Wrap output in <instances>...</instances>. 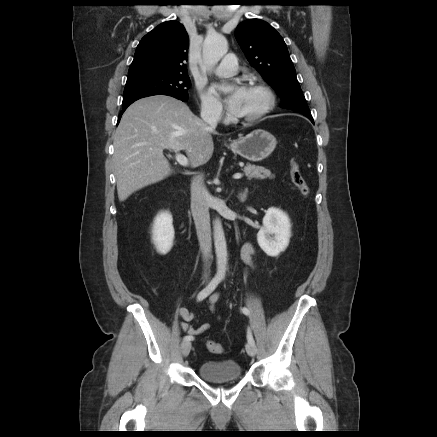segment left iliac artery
Here are the masks:
<instances>
[{
	"instance_id": "1",
	"label": "left iliac artery",
	"mask_w": 437,
	"mask_h": 437,
	"mask_svg": "<svg viewBox=\"0 0 437 437\" xmlns=\"http://www.w3.org/2000/svg\"><path fill=\"white\" fill-rule=\"evenodd\" d=\"M241 310H242V312H243L245 315H250V311H249L247 308L244 307V308H242ZM247 339H248V342H250V343H252V344H255L254 339H253V336H252V333H251L250 330H248V333H247Z\"/></svg>"
}]
</instances>
